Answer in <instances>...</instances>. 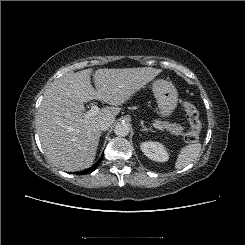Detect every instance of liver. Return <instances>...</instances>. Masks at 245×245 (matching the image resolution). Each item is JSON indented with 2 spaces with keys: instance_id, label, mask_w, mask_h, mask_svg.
I'll list each match as a JSON object with an SVG mask.
<instances>
[{
  "instance_id": "obj_1",
  "label": "liver",
  "mask_w": 245,
  "mask_h": 245,
  "mask_svg": "<svg viewBox=\"0 0 245 245\" xmlns=\"http://www.w3.org/2000/svg\"><path fill=\"white\" fill-rule=\"evenodd\" d=\"M161 69L152 67L97 69L95 90L90 81L91 69L68 73L45 91L37 128L47 158L64 171L90 167L95 159L101 130L99 121L120 113L119 105L152 81ZM104 101L106 107L96 116L86 118L84 103Z\"/></svg>"
}]
</instances>
